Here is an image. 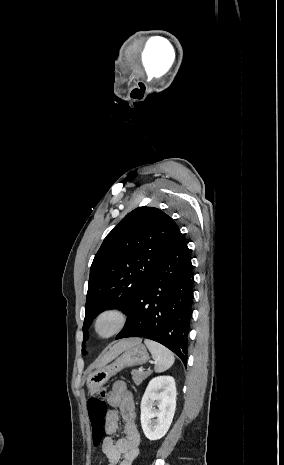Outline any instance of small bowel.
Masks as SVG:
<instances>
[{"instance_id":"c3829d8e","label":"small bowel","mask_w":284,"mask_h":465,"mask_svg":"<svg viewBox=\"0 0 284 465\" xmlns=\"http://www.w3.org/2000/svg\"><path fill=\"white\" fill-rule=\"evenodd\" d=\"M107 401L112 410L107 415V436L102 442V449L108 465H132L139 455L140 444L133 394L127 384L119 380L113 383ZM120 419L123 421L124 436L114 438Z\"/></svg>"}]
</instances>
